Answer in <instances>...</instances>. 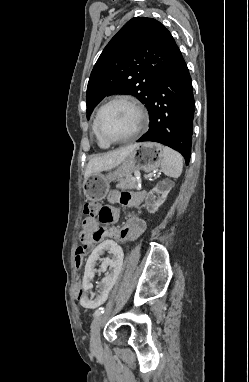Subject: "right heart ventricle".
<instances>
[{"label": "right heart ventricle", "mask_w": 249, "mask_h": 382, "mask_svg": "<svg viewBox=\"0 0 249 382\" xmlns=\"http://www.w3.org/2000/svg\"><path fill=\"white\" fill-rule=\"evenodd\" d=\"M92 132H93V134H94V136L96 138L97 144L99 145L100 148L107 149L110 146V144L106 143L105 141H103L99 137V135L97 133V130H96L95 119H94V122H93V125H92Z\"/></svg>", "instance_id": "obj_1"}]
</instances>
